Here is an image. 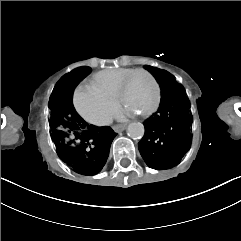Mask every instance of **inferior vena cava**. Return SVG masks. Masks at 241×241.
Instances as JSON below:
<instances>
[{
	"label": "inferior vena cava",
	"instance_id": "602c4592",
	"mask_svg": "<svg viewBox=\"0 0 241 241\" xmlns=\"http://www.w3.org/2000/svg\"><path fill=\"white\" fill-rule=\"evenodd\" d=\"M113 122L112 117L104 119L102 122H95V125L97 126H105L110 125Z\"/></svg>",
	"mask_w": 241,
	"mask_h": 241
}]
</instances>
